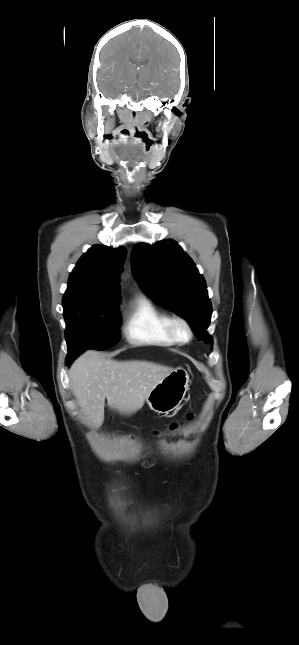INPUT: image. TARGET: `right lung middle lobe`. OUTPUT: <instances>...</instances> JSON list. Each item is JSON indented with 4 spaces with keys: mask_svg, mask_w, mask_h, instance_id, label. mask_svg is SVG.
I'll list each match as a JSON object with an SVG mask.
<instances>
[{
    "mask_svg": "<svg viewBox=\"0 0 299 645\" xmlns=\"http://www.w3.org/2000/svg\"><path fill=\"white\" fill-rule=\"evenodd\" d=\"M117 307L118 302L63 304L68 345L67 365L89 348L103 350L117 344L120 325Z\"/></svg>",
    "mask_w": 299,
    "mask_h": 645,
    "instance_id": "right-lung-middle-lobe-1",
    "label": "right lung middle lobe"
}]
</instances>
